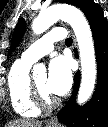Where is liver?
Segmentation results:
<instances>
[{"instance_id": "liver-1", "label": "liver", "mask_w": 108, "mask_h": 127, "mask_svg": "<svg viewBox=\"0 0 108 127\" xmlns=\"http://www.w3.org/2000/svg\"><path fill=\"white\" fill-rule=\"evenodd\" d=\"M6 127H42V122L31 119H18L9 122Z\"/></svg>"}]
</instances>
